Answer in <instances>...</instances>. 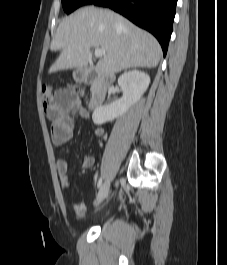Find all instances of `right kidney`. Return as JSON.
I'll return each instance as SVG.
<instances>
[{"instance_id": "1", "label": "right kidney", "mask_w": 227, "mask_h": 265, "mask_svg": "<svg viewBox=\"0 0 227 265\" xmlns=\"http://www.w3.org/2000/svg\"><path fill=\"white\" fill-rule=\"evenodd\" d=\"M149 84L150 77L143 71L132 70L122 74L118 85L122 89L123 97L110 105L97 107L92 114L93 122L101 125L126 113L141 98Z\"/></svg>"}]
</instances>
